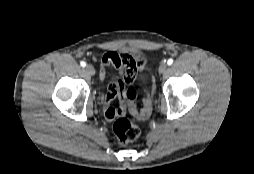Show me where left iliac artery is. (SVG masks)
Returning <instances> with one entry per match:
<instances>
[{
	"label": "left iliac artery",
	"mask_w": 254,
	"mask_h": 174,
	"mask_svg": "<svg viewBox=\"0 0 254 174\" xmlns=\"http://www.w3.org/2000/svg\"><path fill=\"white\" fill-rule=\"evenodd\" d=\"M172 63H173V59L170 58V59L167 61V64H168V65H171Z\"/></svg>",
	"instance_id": "1"
}]
</instances>
